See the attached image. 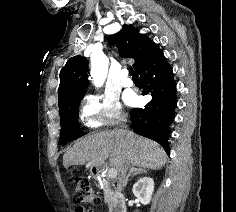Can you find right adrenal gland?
Here are the masks:
<instances>
[{"label": "right adrenal gland", "instance_id": "right-adrenal-gland-1", "mask_svg": "<svg viewBox=\"0 0 236 212\" xmlns=\"http://www.w3.org/2000/svg\"><path fill=\"white\" fill-rule=\"evenodd\" d=\"M142 173H147L146 169L140 168V167H137V168L136 167H131V169L129 171V174L127 175V178H126L124 186L127 185L130 177H133V176H136V175L142 174Z\"/></svg>", "mask_w": 236, "mask_h": 212}]
</instances>
